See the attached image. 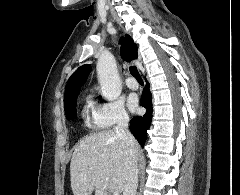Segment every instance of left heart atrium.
<instances>
[{
  "label": "left heart atrium",
  "instance_id": "left-heart-atrium-1",
  "mask_svg": "<svg viewBox=\"0 0 240 195\" xmlns=\"http://www.w3.org/2000/svg\"><path fill=\"white\" fill-rule=\"evenodd\" d=\"M130 106L133 108V109H136L138 107V99L136 96H132L131 99H130Z\"/></svg>",
  "mask_w": 240,
  "mask_h": 195
}]
</instances>
